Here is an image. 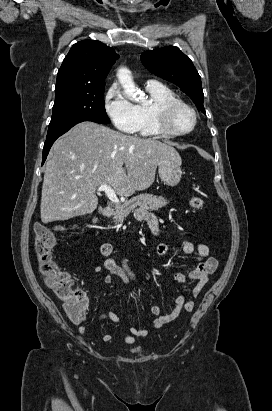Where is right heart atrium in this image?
Segmentation results:
<instances>
[{
  "instance_id": "right-heart-atrium-1",
  "label": "right heart atrium",
  "mask_w": 272,
  "mask_h": 411,
  "mask_svg": "<svg viewBox=\"0 0 272 411\" xmlns=\"http://www.w3.org/2000/svg\"><path fill=\"white\" fill-rule=\"evenodd\" d=\"M104 109L113 125L121 132L134 133L138 115L134 105L117 85L108 88L104 97Z\"/></svg>"
}]
</instances>
